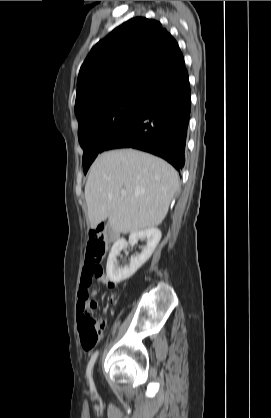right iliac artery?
I'll use <instances>...</instances> for the list:
<instances>
[{
  "label": "right iliac artery",
  "mask_w": 271,
  "mask_h": 418,
  "mask_svg": "<svg viewBox=\"0 0 271 418\" xmlns=\"http://www.w3.org/2000/svg\"><path fill=\"white\" fill-rule=\"evenodd\" d=\"M97 356H98V351H96L92 355V357H91V359L88 363L87 370H86V376L88 378L91 390H94V383H93V379H92V369H93V366H94V363L96 361Z\"/></svg>",
  "instance_id": "82829eb1"
}]
</instances>
